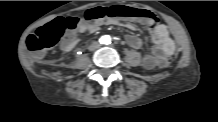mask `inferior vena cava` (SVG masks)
<instances>
[{"label": "inferior vena cava", "mask_w": 218, "mask_h": 122, "mask_svg": "<svg viewBox=\"0 0 218 122\" xmlns=\"http://www.w3.org/2000/svg\"><path fill=\"white\" fill-rule=\"evenodd\" d=\"M96 45H97V47L99 46V44H98V43H96Z\"/></svg>", "instance_id": "inferior-vena-cava-1"}]
</instances>
